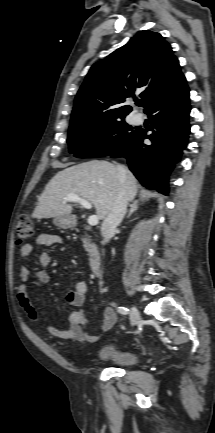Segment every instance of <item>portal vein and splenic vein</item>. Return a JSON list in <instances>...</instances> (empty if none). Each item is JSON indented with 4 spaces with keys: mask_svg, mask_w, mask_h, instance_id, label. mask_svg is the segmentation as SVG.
I'll return each mask as SVG.
<instances>
[{
    "mask_svg": "<svg viewBox=\"0 0 215 433\" xmlns=\"http://www.w3.org/2000/svg\"><path fill=\"white\" fill-rule=\"evenodd\" d=\"M66 202H78V203H80L83 207H85L86 209H91V208H92V204H91L89 201H87V200H85V199L79 197V196L76 195V194H70V195L66 196V197L64 198V203H66ZM98 223H99V218H98V216H96V215H91V216L88 217V224H89V225H91V226H96Z\"/></svg>",
    "mask_w": 215,
    "mask_h": 433,
    "instance_id": "obj_1",
    "label": "portal vein and splenic vein"
}]
</instances>
